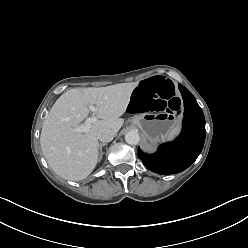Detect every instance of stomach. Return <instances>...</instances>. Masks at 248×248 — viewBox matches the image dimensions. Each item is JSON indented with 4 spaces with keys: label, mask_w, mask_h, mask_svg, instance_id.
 <instances>
[{
    "label": "stomach",
    "mask_w": 248,
    "mask_h": 248,
    "mask_svg": "<svg viewBox=\"0 0 248 248\" xmlns=\"http://www.w3.org/2000/svg\"><path fill=\"white\" fill-rule=\"evenodd\" d=\"M176 120L177 115L173 111L161 112L159 114L143 112L135 115L132 123L141 130L146 140L150 143H157L168 136L175 126Z\"/></svg>",
    "instance_id": "1"
}]
</instances>
